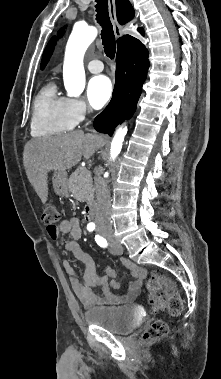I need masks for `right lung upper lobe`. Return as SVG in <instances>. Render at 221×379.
I'll use <instances>...</instances> for the list:
<instances>
[{
  "label": "right lung upper lobe",
  "mask_w": 221,
  "mask_h": 379,
  "mask_svg": "<svg viewBox=\"0 0 221 379\" xmlns=\"http://www.w3.org/2000/svg\"><path fill=\"white\" fill-rule=\"evenodd\" d=\"M116 10L120 24H125L134 17V10L128 0H116Z\"/></svg>",
  "instance_id": "1"
}]
</instances>
